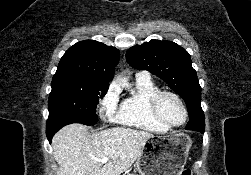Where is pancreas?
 I'll use <instances>...</instances> for the list:
<instances>
[{"instance_id":"obj_1","label":"pancreas","mask_w":251,"mask_h":175,"mask_svg":"<svg viewBox=\"0 0 251 175\" xmlns=\"http://www.w3.org/2000/svg\"><path fill=\"white\" fill-rule=\"evenodd\" d=\"M127 175H133V173H128V171H127Z\"/></svg>"}]
</instances>
